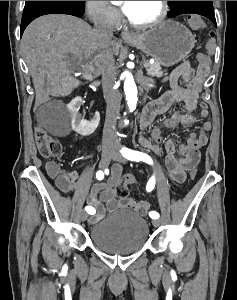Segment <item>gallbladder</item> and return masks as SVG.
Masks as SVG:
<instances>
[{
    "label": "gallbladder",
    "instance_id": "obj_1",
    "mask_svg": "<svg viewBox=\"0 0 237 300\" xmlns=\"http://www.w3.org/2000/svg\"><path fill=\"white\" fill-rule=\"evenodd\" d=\"M60 87L58 89L59 94H72L73 93V77L72 76H61Z\"/></svg>",
    "mask_w": 237,
    "mask_h": 300
}]
</instances>
